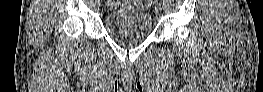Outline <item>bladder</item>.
<instances>
[{
	"mask_svg": "<svg viewBox=\"0 0 263 92\" xmlns=\"http://www.w3.org/2000/svg\"><path fill=\"white\" fill-rule=\"evenodd\" d=\"M129 4L106 12L104 26L108 35L124 45L145 40L152 31V19L144 1H124Z\"/></svg>",
	"mask_w": 263,
	"mask_h": 92,
	"instance_id": "bladder-1",
	"label": "bladder"
}]
</instances>
